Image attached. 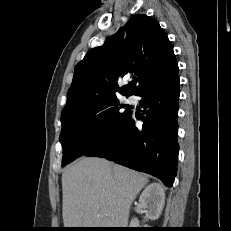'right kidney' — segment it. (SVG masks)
<instances>
[{"instance_id": "obj_1", "label": "right kidney", "mask_w": 231, "mask_h": 231, "mask_svg": "<svg viewBox=\"0 0 231 231\" xmlns=\"http://www.w3.org/2000/svg\"><path fill=\"white\" fill-rule=\"evenodd\" d=\"M139 202L144 208L146 216L150 220H157L162 213L165 203L164 189L158 183L150 184L140 195ZM136 226L137 221L133 219L130 223V227L135 228Z\"/></svg>"}]
</instances>
